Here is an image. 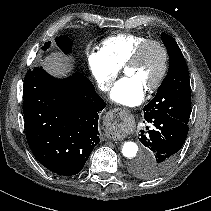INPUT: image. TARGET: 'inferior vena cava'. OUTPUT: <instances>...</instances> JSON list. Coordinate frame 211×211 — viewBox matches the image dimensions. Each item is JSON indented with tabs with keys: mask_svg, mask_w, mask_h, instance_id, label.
Returning <instances> with one entry per match:
<instances>
[{
	"mask_svg": "<svg viewBox=\"0 0 211 211\" xmlns=\"http://www.w3.org/2000/svg\"><path fill=\"white\" fill-rule=\"evenodd\" d=\"M99 88H100L101 90H105V89H107V85H104V84L99 85Z\"/></svg>",
	"mask_w": 211,
	"mask_h": 211,
	"instance_id": "obj_1",
	"label": "inferior vena cava"
}]
</instances>
